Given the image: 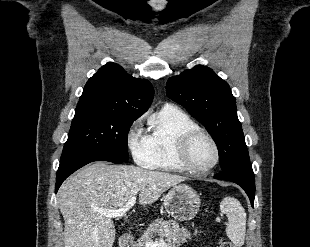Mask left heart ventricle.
<instances>
[{
	"label": "left heart ventricle",
	"mask_w": 310,
	"mask_h": 247,
	"mask_svg": "<svg viewBox=\"0 0 310 247\" xmlns=\"http://www.w3.org/2000/svg\"><path fill=\"white\" fill-rule=\"evenodd\" d=\"M215 151L212 144L204 137L197 138L190 149V161L196 168H204L213 163Z\"/></svg>",
	"instance_id": "obj_1"
}]
</instances>
